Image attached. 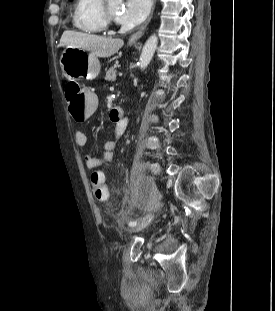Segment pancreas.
<instances>
[{
    "label": "pancreas",
    "instance_id": "pancreas-1",
    "mask_svg": "<svg viewBox=\"0 0 275 311\" xmlns=\"http://www.w3.org/2000/svg\"><path fill=\"white\" fill-rule=\"evenodd\" d=\"M116 74H117V70L114 67H111L109 70L106 71L105 79L108 81H115Z\"/></svg>",
    "mask_w": 275,
    "mask_h": 311
}]
</instances>
